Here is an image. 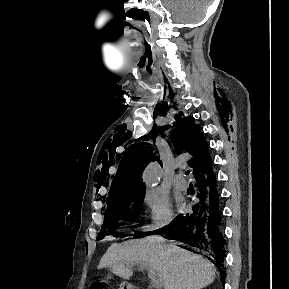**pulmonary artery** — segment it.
Here are the masks:
<instances>
[{
  "label": "pulmonary artery",
  "mask_w": 289,
  "mask_h": 289,
  "mask_svg": "<svg viewBox=\"0 0 289 289\" xmlns=\"http://www.w3.org/2000/svg\"><path fill=\"white\" fill-rule=\"evenodd\" d=\"M173 185L175 188L179 189V190H185L188 187V183L185 180L184 176L179 173L176 174L173 178Z\"/></svg>",
  "instance_id": "pulmonary-artery-1"
}]
</instances>
